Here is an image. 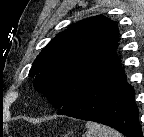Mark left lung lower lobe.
Listing matches in <instances>:
<instances>
[{
	"label": "left lung lower lobe",
	"instance_id": "left-lung-lower-lobe-1",
	"mask_svg": "<svg viewBox=\"0 0 144 137\" xmlns=\"http://www.w3.org/2000/svg\"><path fill=\"white\" fill-rule=\"evenodd\" d=\"M58 114L105 124L127 137H143L134 90L121 66Z\"/></svg>",
	"mask_w": 144,
	"mask_h": 137
}]
</instances>
